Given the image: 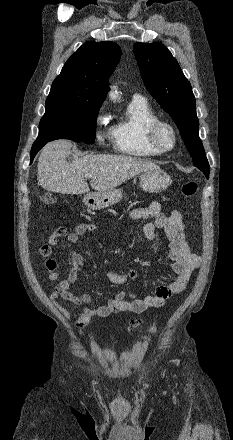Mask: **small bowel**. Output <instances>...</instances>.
Segmentation results:
<instances>
[{"mask_svg":"<svg viewBox=\"0 0 233 440\" xmlns=\"http://www.w3.org/2000/svg\"><path fill=\"white\" fill-rule=\"evenodd\" d=\"M128 217L132 220L147 221L143 232L148 240L154 239L156 229L165 232L170 241L169 259L175 279L167 285L157 286L153 295L136 297L132 293L118 291L105 304L91 307L90 304L93 299L90 295L71 290V286L76 282L79 273L83 269L82 256L77 251H71V269L66 278L57 284L50 295V300L66 319L70 318V312L60 305L58 300L69 301L80 308V314L75 323L78 330L90 325L94 317L106 318L116 313L141 314L149 308L163 307L168 299L184 290L193 270L201 264L200 256L190 252L183 232V218L179 211L173 210L169 215H166L162 213L160 203L152 201L145 207L130 211ZM95 229L94 224H78L72 232H68L65 227H57L50 231L48 242L38 248L39 254L47 258L45 270L49 281H56L63 275V272L58 269L57 260L53 257L54 247L61 242V239L66 238L65 246L71 248L81 236ZM104 274L111 283L116 285L124 284L137 275L134 269H128L122 273L106 270Z\"/></svg>","mask_w":233,"mask_h":440,"instance_id":"small-bowel-1","label":"small bowel"}]
</instances>
